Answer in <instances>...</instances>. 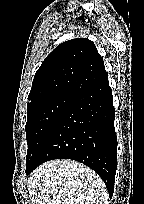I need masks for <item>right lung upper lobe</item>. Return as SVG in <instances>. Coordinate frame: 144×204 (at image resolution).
Here are the masks:
<instances>
[{
    "label": "right lung upper lobe",
    "mask_w": 144,
    "mask_h": 204,
    "mask_svg": "<svg viewBox=\"0 0 144 204\" xmlns=\"http://www.w3.org/2000/svg\"><path fill=\"white\" fill-rule=\"evenodd\" d=\"M108 79L102 57L89 39L61 43L37 70L28 107L58 94L74 96Z\"/></svg>",
    "instance_id": "right-lung-upper-lobe-1"
}]
</instances>
